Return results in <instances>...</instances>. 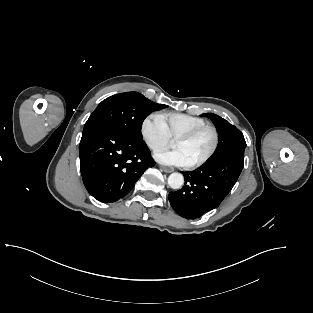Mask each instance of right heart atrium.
Listing matches in <instances>:
<instances>
[{
  "mask_svg": "<svg viewBox=\"0 0 313 313\" xmlns=\"http://www.w3.org/2000/svg\"><path fill=\"white\" fill-rule=\"evenodd\" d=\"M141 135L146 145L153 152L168 147L172 141L159 114H150L143 120Z\"/></svg>",
  "mask_w": 313,
  "mask_h": 313,
  "instance_id": "right-heart-atrium-1",
  "label": "right heart atrium"
}]
</instances>
